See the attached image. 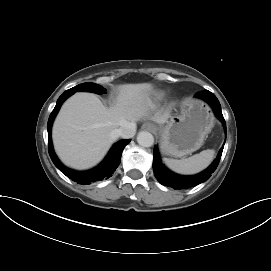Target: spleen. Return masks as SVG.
<instances>
[{"label":"spleen","instance_id":"spleen-1","mask_svg":"<svg viewBox=\"0 0 271 271\" xmlns=\"http://www.w3.org/2000/svg\"><path fill=\"white\" fill-rule=\"evenodd\" d=\"M215 151L207 149L199 154H195L189 158L177 160L171 158H163L165 165L172 171L183 174L192 175L204 170L212 162Z\"/></svg>","mask_w":271,"mask_h":271}]
</instances>
